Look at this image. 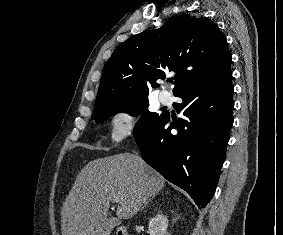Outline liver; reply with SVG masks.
I'll use <instances>...</instances> for the list:
<instances>
[{"label": "liver", "instance_id": "liver-1", "mask_svg": "<svg viewBox=\"0 0 283 235\" xmlns=\"http://www.w3.org/2000/svg\"><path fill=\"white\" fill-rule=\"evenodd\" d=\"M165 179L137 154L122 153L86 164L61 209L62 235H110V201L119 197L117 217L132 218Z\"/></svg>", "mask_w": 283, "mask_h": 235}]
</instances>
